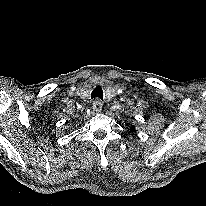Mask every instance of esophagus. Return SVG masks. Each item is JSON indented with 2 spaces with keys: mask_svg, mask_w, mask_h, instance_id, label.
I'll return each instance as SVG.
<instances>
[{
  "mask_svg": "<svg viewBox=\"0 0 206 206\" xmlns=\"http://www.w3.org/2000/svg\"><path fill=\"white\" fill-rule=\"evenodd\" d=\"M103 103L99 99H95L92 103V109L95 112H100L102 110Z\"/></svg>",
  "mask_w": 206,
  "mask_h": 206,
  "instance_id": "1",
  "label": "esophagus"
}]
</instances>
